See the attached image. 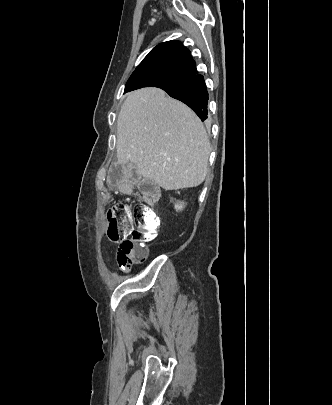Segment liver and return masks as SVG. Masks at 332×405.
<instances>
[{
	"instance_id": "obj_1",
	"label": "liver",
	"mask_w": 332,
	"mask_h": 405,
	"mask_svg": "<svg viewBox=\"0 0 332 405\" xmlns=\"http://www.w3.org/2000/svg\"><path fill=\"white\" fill-rule=\"evenodd\" d=\"M210 142L198 116L159 88L130 92L117 118L118 164L129 161L165 190L192 188L207 175Z\"/></svg>"
}]
</instances>
